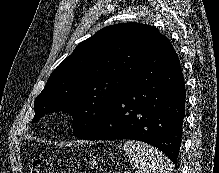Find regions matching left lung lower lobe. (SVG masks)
I'll return each instance as SVG.
<instances>
[{"label": "left lung lower lobe", "mask_w": 219, "mask_h": 173, "mask_svg": "<svg viewBox=\"0 0 219 173\" xmlns=\"http://www.w3.org/2000/svg\"><path fill=\"white\" fill-rule=\"evenodd\" d=\"M185 82L179 58L167 38L136 72V83L84 140L134 139L179 160L185 114Z\"/></svg>", "instance_id": "0a47b994"}]
</instances>
